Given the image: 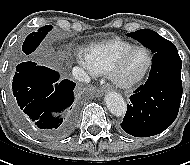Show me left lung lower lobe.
Masks as SVG:
<instances>
[{
    "label": "left lung lower lobe",
    "instance_id": "0a47b994",
    "mask_svg": "<svg viewBox=\"0 0 190 165\" xmlns=\"http://www.w3.org/2000/svg\"><path fill=\"white\" fill-rule=\"evenodd\" d=\"M181 67L175 45L154 53L148 80L130 97L122 130L135 137H149L173 123L182 97Z\"/></svg>",
    "mask_w": 190,
    "mask_h": 165
}]
</instances>
